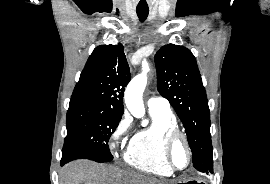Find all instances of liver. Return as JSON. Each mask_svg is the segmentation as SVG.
I'll list each match as a JSON object with an SVG mask.
<instances>
[{
    "mask_svg": "<svg viewBox=\"0 0 270 184\" xmlns=\"http://www.w3.org/2000/svg\"><path fill=\"white\" fill-rule=\"evenodd\" d=\"M59 184H169L117 167L88 160H76L66 164L60 172Z\"/></svg>",
    "mask_w": 270,
    "mask_h": 184,
    "instance_id": "obj_1",
    "label": "liver"
}]
</instances>
